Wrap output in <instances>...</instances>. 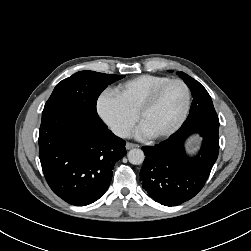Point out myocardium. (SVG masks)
<instances>
[{
    "mask_svg": "<svg viewBox=\"0 0 251 251\" xmlns=\"http://www.w3.org/2000/svg\"><path fill=\"white\" fill-rule=\"evenodd\" d=\"M173 83H178V84L182 85L185 90L186 99H185L184 108H183L178 120L175 122V124L172 127H170L168 130H166L162 133L150 136L151 139L161 140V139H165V138L172 136L181 128V126L183 125V123L185 122V120L188 116L190 106H191V90L184 80L179 79V78H174V79H169V80L165 81L164 83H162L161 85H159L142 102V104L140 105V107L138 108L137 113H136L137 120L141 123V119H142L143 115L155 105V103L159 99L162 92L170 84H173Z\"/></svg>",
    "mask_w": 251,
    "mask_h": 251,
    "instance_id": "1",
    "label": "myocardium"
}]
</instances>
